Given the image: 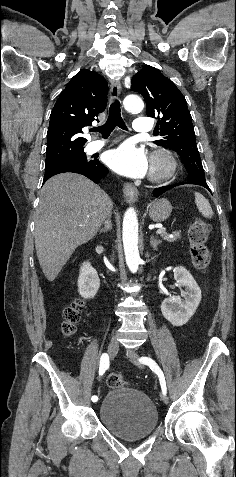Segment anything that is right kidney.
<instances>
[{"instance_id": "right-kidney-1", "label": "right kidney", "mask_w": 236, "mask_h": 477, "mask_svg": "<svg viewBox=\"0 0 236 477\" xmlns=\"http://www.w3.org/2000/svg\"><path fill=\"white\" fill-rule=\"evenodd\" d=\"M100 287V279L97 271L90 262H85L80 268L78 278L79 294L85 299L94 298Z\"/></svg>"}]
</instances>
